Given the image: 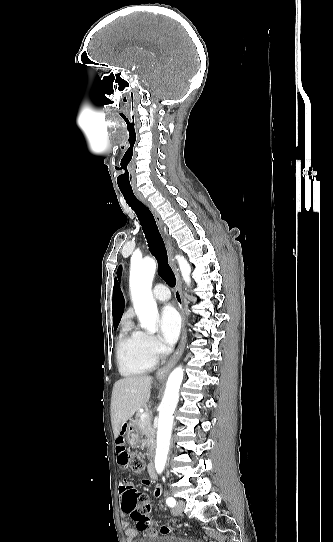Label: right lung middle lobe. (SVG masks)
Instances as JSON below:
<instances>
[{
  "label": "right lung middle lobe",
  "mask_w": 333,
  "mask_h": 542,
  "mask_svg": "<svg viewBox=\"0 0 333 542\" xmlns=\"http://www.w3.org/2000/svg\"><path fill=\"white\" fill-rule=\"evenodd\" d=\"M117 327H118V326H114V330H116V329H117Z\"/></svg>",
  "instance_id": "right-lung-middle-lobe-1"
}]
</instances>
